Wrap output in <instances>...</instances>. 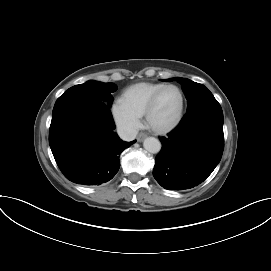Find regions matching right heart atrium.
<instances>
[{
  "mask_svg": "<svg viewBox=\"0 0 271 271\" xmlns=\"http://www.w3.org/2000/svg\"><path fill=\"white\" fill-rule=\"evenodd\" d=\"M112 117L118 129L127 137L134 136L141 126L140 117L127 109L117 100L111 108Z\"/></svg>",
  "mask_w": 271,
  "mask_h": 271,
  "instance_id": "right-heart-atrium-1",
  "label": "right heart atrium"
}]
</instances>
